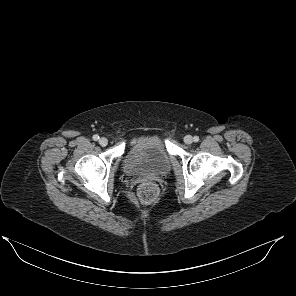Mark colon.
I'll use <instances>...</instances> for the list:
<instances>
[{
	"label": "colon",
	"instance_id": "obj_1",
	"mask_svg": "<svg viewBox=\"0 0 296 296\" xmlns=\"http://www.w3.org/2000/svg\"><path fill=\"white\" fill-rule=\"evenodd\" d=\"M158 194L159 190L155 183L145 182L139 185L136 198L141 204H150L156 200Z\"/></svg>",
	"mask_w": 296,
	"mask_h": 296
}]
</instances>
